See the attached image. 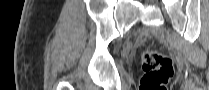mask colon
<instances>
[{"mask_svg": "<svg viewBox=\"0 0 209 90\" xmlns=\"http://www.w3.org/2000/svg\"><path fill=\"white\" fill-rule=\"evenodd\" d=\"M143 75L139 90H168L174 74L170 57L154 50H147L141 57Z\"/></svg>", "mask_w": 209, "mask_h": 90, "instance_id": "1", "label": "colon"}]
</instances>
